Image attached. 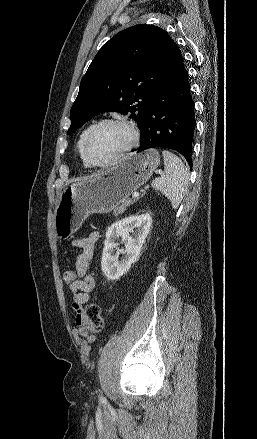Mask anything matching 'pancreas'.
I'll return each instance as SVG.
<instances>
[{
	"label": "pancreas",
	"instance_id": "cf45deb5",
	"mask_svg": "<svg viewBox=\"0 0 257 439\" xmlns=\"http://www.w3.org/2000/svg\"><path fill=\"white\" fill-rule=\"evenodd\" d=\"M131 204H133V200H131V199H126L125 201H123L120 206H118L114 209V211H113L114 216L117 217V216L121 215L122 213H124L126 208L128 206H130Z\"/></svg>",
	"mask_w": 257,
	"mask_h": 439
}]
</instances>
